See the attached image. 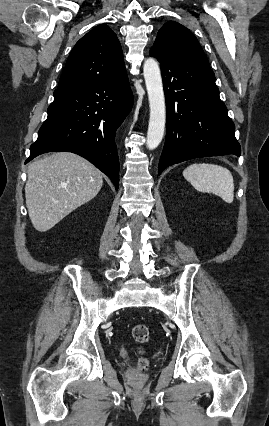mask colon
Returning a JSON list of instances; mask_svg holds the SVG:
<instances>
[{"label":"colon","instance_id":"5ec220e1","mask_svg":"<svg viewBox=\"0 0 269 426\" xmlns=\"http://www.w3.org/2000/svg\"><path fill=\"white\" fill-rule=\"evenodd\" d=\"M132 338L138 344H145L149 341L150 331L145 324H137L132 328ZM148 368V363L146 360L142 359L139 362V370L141 372L146 371Z\"/></svg>","mask_w":269,"mask_h":426}]
</instances>
